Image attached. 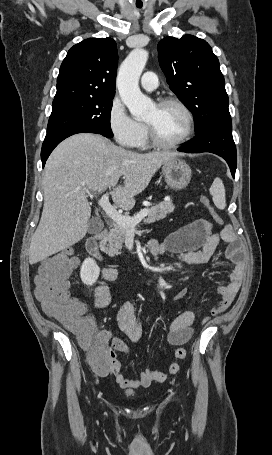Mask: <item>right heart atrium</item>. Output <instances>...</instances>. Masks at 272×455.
I'll list each match as a JSON object with an SVG mask.
<instances>
[{"label": "right heart atrium", "mask_w": 272, "mask_h": 455, "mask_svg": "<svg viewBox=\"0 0 272 455\" xmlns=\"http://www.w3.org/2000/svg\"><path fill=\"white\" fill-rule=\"evenodd\" d=\"M108 126L115 141L125 148L136 147L144 132V125L129 115L118 97H114L110 103Z\"/></svg>", "instance_id": "d8ad5b80"}]
</instances>
